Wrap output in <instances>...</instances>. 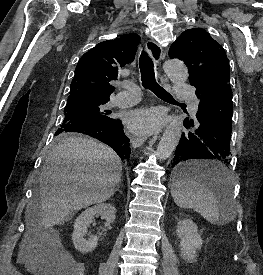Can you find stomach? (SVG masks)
Masks as SVG:
<instances>
[{
    "mask_svg": "<svg viewBox=\"0 0 263 275\" xmlns=\"http://www.w3.org/2000/svg\"><path fill=\"white\" fill-rule=\"evenodd\" d=\"M197 162H192V164H196Z\"/></svg>",
    "mask_w": 263,
    "mask_h": 275,
    "instance_id": "1",
    "label": "stomach"
}]
</instances>
